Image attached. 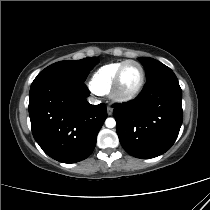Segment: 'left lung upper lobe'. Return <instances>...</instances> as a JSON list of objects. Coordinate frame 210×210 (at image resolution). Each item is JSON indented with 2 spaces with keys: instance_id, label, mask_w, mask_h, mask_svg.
Instances as JSON below:
<instances>
[{
  "instance_id": "1",
  "label": "left lung upper lobe",
  "mask_w": 210,
  "mask_h": 210,
  "mask_svg": "<svg viewBox=\"0 0 210 210\" xmlns=\"http://www.w3.org/2000/svg\"><path fill=\"white\" fill-rule=\"evenodd\" d=\"M138 60L144 65L146 71L147 80L163 73L168 70H171L169 67L163 63L149 57H140Z\"/></svg>"
}]
</instances>
